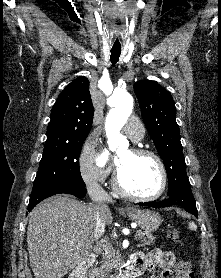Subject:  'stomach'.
Returning a JSON list of instances; mask_svg holds the SVG:
<instances>
[{
    "instance_id": "obj_1",
    "label": "stomach",
    "mask_w": 221,
    "mask_h": 278,
    "mask_svg": "<svg viewBox=\"0 0 221 278\" xmlns=\"http://www.w3.org/2000/svg\"><path fill=\"white\" fill-rule=\"evenodd\" d=\"M126 214L129 219L136 222L146 232L155 231L162 223L161 216L154 211L132 207L126 210Z\"/></svg>"
}]
</instances>
